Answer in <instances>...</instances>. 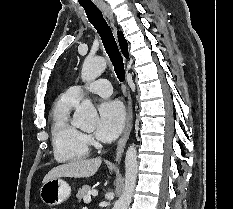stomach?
<instances>
[{
	"mask_svg": "<svg viewBox=\"0 0 233 209\" xmlns=\"http://www.w3.org/2000/svg\"><path fill=\"white\" fill-rule=\"evenodd\" d=\"M71 195V187L61 179L54 178L45 183L40 188V198L43 203L49 206H56L66 201Z\"/></svg>",
	"mask_w": 233,
	"mask_h": 209,
	"instance_id": "1",
	"label": "stomach"
}]
</instances>
